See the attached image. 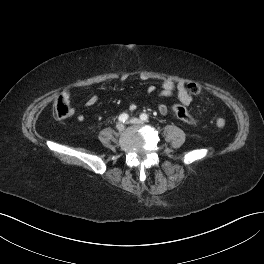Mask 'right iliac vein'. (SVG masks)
Segmentation results:
<instances>
[{
	"instance_id": "right-iliac-vein-1",
	"label": "right iliac vein",
	"mask_w": 264,
	"mask_h": 264,
	"mask_svg": "<svg viewBox=\"0 0 264 264\" xmlns=\"http://www.w3.org/2000/svg\"><path fill=\"white\" fill-rule=\"evenodd\" d=\"M116 128H117V130H118L119 132H121V131L124 130L125 126H124V124H122V123H118V124L116 125Z\"/></svg>"
}]
</instances>
